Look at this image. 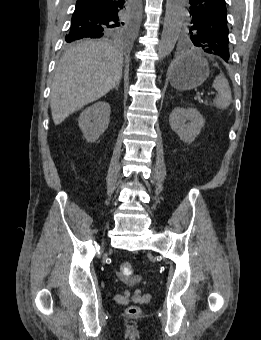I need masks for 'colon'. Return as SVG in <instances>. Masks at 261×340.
Instances as JSON below:
<instances>
[{"instance_id":"1","label":"colon","mask_w":261,"mask_h":340,"mask_svg":"<svg viewBox=\"0 0 261 340\" xmlns=\"http://www.w3.org/2000/svg\"><path fill=\"white\" fill-rule=\"evenodd\" d=\"M117 272L121 278L129 279L133 275V267L131 263L125 261L118 266ZM127 313L131 315H137L140 313V308L137 306H130L127 309Z\"/></svg>"}]
</instances>
